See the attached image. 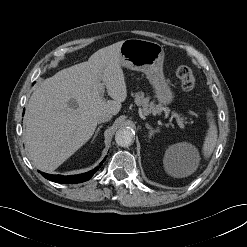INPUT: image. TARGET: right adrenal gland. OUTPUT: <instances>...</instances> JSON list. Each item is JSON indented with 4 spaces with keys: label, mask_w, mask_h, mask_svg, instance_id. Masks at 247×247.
<instances>
[{
    "label": "right adrenal gland",
    "mask_w": 247,
    "mask_h": 247,
    "mask_svg": "<svg viewBox=\"0 0 247 247\" xmlns=\"http://www.w3.org/2000/svg\"><path fill=\"white\" fill-rule=\"evenodd\" d=\"M103 126L102 125H100L98 128H97V130H96V132H95V134H94V136H93V138H92V141L91 142H93L94 140H95V138L97 137V135H98V133L100 132V129L102 128Z\"/></svg>",
    "instance_id": "right-adrenal-gland-1"
}]
</instances>
